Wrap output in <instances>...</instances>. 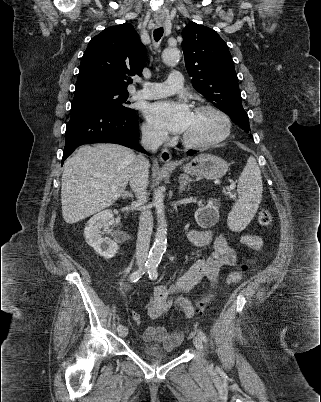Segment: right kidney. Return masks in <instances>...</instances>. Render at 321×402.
Returning a JSON list of instances; mask_svg holds the SVG:
<instances>
[{
	"label": "right kidney",
	"instance_id": "1",
	"mask_svg": "<svg viewBox=\"0 0 321 402\" xmlns=\"http://www.w3.org/2000/svg\"><path fill=\"white\" fill-rule=\"evenodd\" d=\"M113 224H115V220L112 210L107 209L94 215L88 221L84 230V236L88 245L105 259L114 257L118 250L116 242L107 237L102 238V233L108 232L109 226ZM102 228L104 229L103 232L101 231Z\"/></svg>",
	"mask_w": 321,
	"mask_h": 402
}]
</instances>
